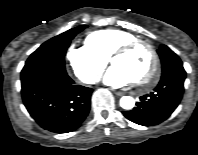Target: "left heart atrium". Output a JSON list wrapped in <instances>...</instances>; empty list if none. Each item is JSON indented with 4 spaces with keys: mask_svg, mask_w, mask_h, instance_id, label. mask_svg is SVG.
Listing matches in <instances>:
<instances>
[{
    "mask_svg": "<svg viewBox=\"0 0 198 155\" xmlns=\"http://www.w3.org/2000/svg\"><path fill=\"white\" fill-rule=\"evenodd\" d=\"M103 81L112 87H123L134 82L129 73L117 65H113L108 69Z\"/></svg>",
    "mask_w": 198,
    "mask_h": 155,
    "instance_id": "39dd6f15",
    "label": "left heart atrium"
}]
</instances>
